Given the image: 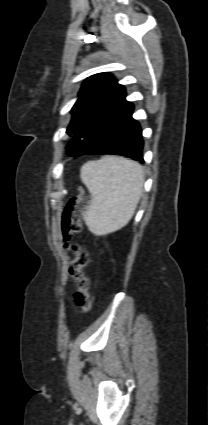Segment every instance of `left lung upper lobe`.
<instances>
[{"label": "left lung upper lobe", "mask_w": 208, "mask_h": 425, "mask_svg": "<svg viewBox=\"0 0 208 425\" xmlns=\"http://www.w3.org/2000/svg\"><path fill=\"white\" fill-rule=\"evenodd\" d=\"M124 91L125 88L110 73H99L87 78L71 110L73 118L66 133L76 135ZM66 148L67 154L80 155L81 147L76 139L73 138Z\"/></svg>", "instance_id": "1"}]
</instances>
